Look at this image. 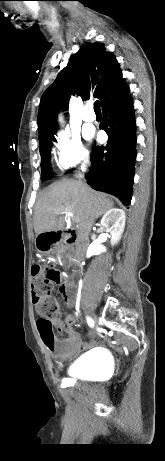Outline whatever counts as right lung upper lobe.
Here are the masks:
<instances>
[{"label":"right lung upper lobe","mask_w":165,"mask_h":461,"mask_svg":"<svg viewBox=\"0 0 165 461\" xmlns=\"http://www.w3.org/2000/svg\"><path fill=\"white\" fill-rule=\"evenodd\" d=\"M116 57L102 43H86L72 55L67 67L46 89L38 111L39 138L55 131L57 109H66L71 94L100 99L101 107L118 101L129 93Z\"/></svg>","instance_id":"1"}]
</instances>
